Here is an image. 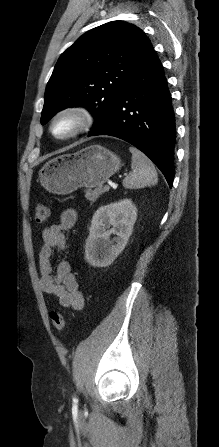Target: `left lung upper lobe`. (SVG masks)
<instances>
[{"label": "left lung upper lobe", "instance_id": "1", "mask_svg": "<svg viewBox=\"0 0 219 447\" xmlns=\"http://www.w3.org/2000/svg\"><path fill=\"white\" fill-rule=\"evenodd\" d=\"M150 40L138 27L113 21L81 36L62 53L48 81L41 124L72 106L87 107L103 122Z\"/></svg>", "mask_w": 219, "mask_h": 447}]
</instances>
